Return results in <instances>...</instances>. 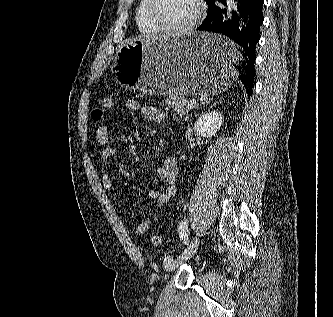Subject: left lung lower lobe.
Returning a JSON list of instances; mask_svg holds the SVG:
<instances>
[{
	"instance_id": "0a47b994",
	"label": "left lung lower lobe",
	"mask_w": 333,
	"mask_h": 317,
	"mask_svg": "<svg viewBox=\"0 0 333 317\" xmlns=\"http://www.w3.org/2000/svg\"><path fill=\"white\" fill-rule=\"evenodd\" d=\"M219 2L226 8L222 9L215 5V1H211L207 16L197 30L225 35L243 48L241 54L227 46L210 51L217 53L221 59L236 68L235 74L250 97L255 74V49L260 39V26L264 21V0H232L229 5L226 0Z\"/></svg>"
}]
</instances>
